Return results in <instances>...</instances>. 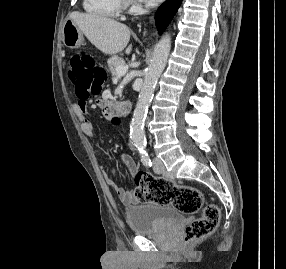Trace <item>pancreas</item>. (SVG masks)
Segmentation results:
<instances>
[{
	"mask_svg": "<svg viewBox=\"0 0 286 269\" xmlns=\"http://www.w3.org/2000/svg\"><path fill=\"white\" fill-rule=\"evenodd\" d=\"M108 67L113 76L117 75L118 67H125V61L118 56H114L108 60Z\"/></svg>",
	"mask_w": 286,
	"mask_h": 269,
	"instance_id": "1",
	"label": "pancreas"
}]
</instances>
